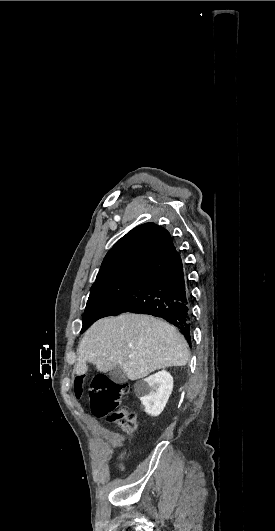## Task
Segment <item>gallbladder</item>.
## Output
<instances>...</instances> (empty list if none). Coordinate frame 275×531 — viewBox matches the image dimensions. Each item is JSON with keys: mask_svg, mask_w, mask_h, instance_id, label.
Returning a JSON list of instances; mask_svg holds the SVG:
<instances>
[{"mask_svg": "<svg viewBox=\"0 0 275 531\" xmlns=\"http://www.w3.org/2000/svg\"><path fill=\"white\" fill-rule=\"evenodd\" d=\"M109 379H111L113 383L120 385V383H126L127 375L123 369H120V367H114L109 373Z\"/></svg>", "mask_w": 275, "mask_h": 531, "instance_id": "gallbladder-1", "label": "gallbladder"}]
</instances>
